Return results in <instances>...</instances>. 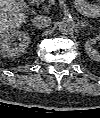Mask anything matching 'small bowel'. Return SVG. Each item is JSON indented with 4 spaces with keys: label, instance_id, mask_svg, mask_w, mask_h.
Returning <instances> with one entry per match:
<instances>
[{
    "label": "small bowel",
    "instance_id": "1",
    "mask_svg": "<svg viewBox=\"0 0 100 118\" xmlns=\"http://www.w3.org/2000/svg\"><path fill=\"white\" fill-rule=\"evenodd\" d=\"M75 6L80 12L88 15L94 14L98 8L96 4L90 3L86 0H75Z\"/></svg>",
    "mask_w": 100,
    "mask_h": 118
}]
</instances>
